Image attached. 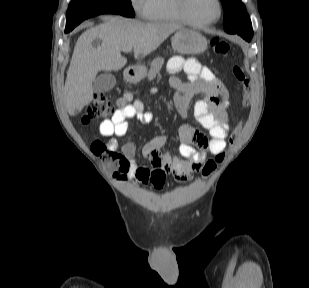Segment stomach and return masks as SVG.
<instances>
[{"instance_id": "obj_1", "label": "stomach", "mask_w": 309, "mask_h": 288, "mask_svg": "<svg viewBox=\"0 0 309 288\" xmlns=\"http://www.w3.org/2000/svg\"><path fill=\"white\" fill-rule=\"evenodd\" d=\"M172 47L180 54H200L207 49V40L199 32L180 28L172 37ZM146 75L144 66H137L134 69V75H127L125 79L128 82L136 83L141 81Z\"/></svg>"}]
</instances>
